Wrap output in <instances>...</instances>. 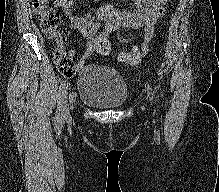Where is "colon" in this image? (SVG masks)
I'll return each mask as SVG.
<instances>
[{
  "instance_id": "colon-1",
  "label": "colon",
  "mask_w": 219,
  "mask_h": 192,
  "mask_svg": "<svg viewBox=\"0 0 219 192\" xmlns=\"http://www.w3.org/2000/svg\"><path fill=\"white\" fill-rule=\"evenodd\" d=\"M33 11L45 35L58 42V48L55 51V62L58 70L66 78L73 77L76 73L75 66L61 47V18L58 10L50 4L49 0H36ZM96 51L101 55L108 56L113 53V48L107 39L100 38L96 41ZM142 56L140 52L131 49L122 51L118 58L127 65H137L141 62Z\"/></svg>"
}]
</instances>
